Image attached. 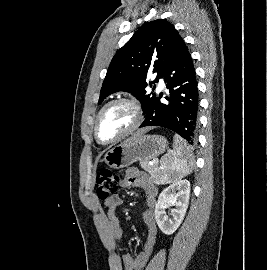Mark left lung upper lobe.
Segmentation results:
<instances>
[{"label":"left lung upper lobe","mask_w":267,"mask_h":270,"mask_svg":"<svg viewBox=\"0 0 267 270\" xmlns=\"http://www.w3.org/2000/svg\"><path fill=\"white\" fill-rule=\"evenodd\" d=\"M181 40L177 30L166 20L158 19L142 25L113 57L98 104L114 92L127 91L141 102L143 113L146 114L156 97L145 90L148 70L158 73L152 83L158 82L164 76ZM152 83H149L151 87Z\"/></svg>","instance_id":"1"}]
</instances>
